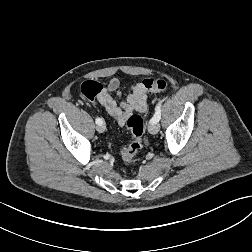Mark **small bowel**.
<instances>
[{
    "label": "small bowel",
    "mask_w": 252,
    "mask_h": 252,
    "mask_svg": "<svg viewBox=\"0 0 252 252\" xmlns=\"http://www.w3.org/2000/svg\"><path fill=\"white\" fill-rule=\"evenodd\" d=\"M146 90L141 82L133 83L129 93L122 102H118L114 94L120 96V81L117 78L110 79L97 97L98 103L116 121L119 126H124L127 119L146 110Z\"/></svg>",
    "instance_id": "small-bowel-1"
}]
</instances>
